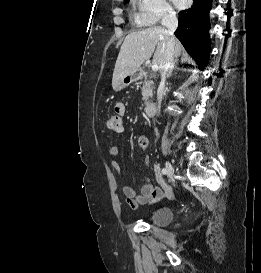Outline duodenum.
Wrapping results in <instances>:
<instances>
[{"mask_svg": "<svg viewBox=\"0 0 261 273\" xmlns=\"http://www.w3.org/2000/svg\"><path fill=\"white\" fill-rule=\"evenodd\" d=\"M155 110H156V105L154 102H149L144 107V112L149 117L155 114Z\"/></svg>", "mask_w": 261, "mask_h": 273, "instance_id": "duodenum-1", "label": "duodenum"}]
</instances>
